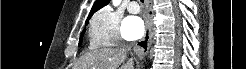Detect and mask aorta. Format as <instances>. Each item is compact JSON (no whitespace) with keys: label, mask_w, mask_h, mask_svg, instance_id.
<instances>
[{"label":"aorta","mask_w":246,"mask_h":69,"mask_svg":"<svg viewBox=\"0 0 246 69\" xmlns=\"http://www.w3.org/2000/svg\"><path fill=\"white\" fill-rule=\"evenodd\" d=\"M112 2H113L114 6H118L120 4L121 0H113Z\"/></svg>","instance_id":"1"}]
</instances>
